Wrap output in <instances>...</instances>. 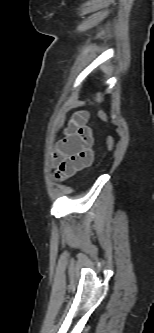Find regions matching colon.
Listing matches in <instances>:
<instances>
[{
	"mask_svg": "<svg viewBox=\"0 0 154 333\" xmlns=\"http://www.w3.org/2000/svg\"><path fill=\"white\" fill-rule=\"evenodd\" d=\"M100 117H101V119L106 120V116H105L104 113H101V114H100ZM108 144H109V146L112 145V139H111V138L108 139Z\"/></svg>",
	"mask_w": 154,
	"mask_h": 333,
	"instance_id": "colon-1",
	"label": "colon"
}]
</instances>
